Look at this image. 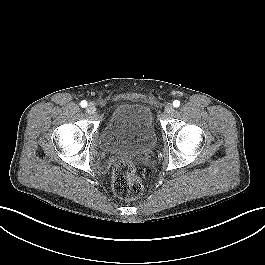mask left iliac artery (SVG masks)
<instances>
[{"label":"left iliac artery","mask_w":265,"mask_h":265,"mask_svg":"<svg viewBox=\"0 0 265 265\" xmlns=\"http://www.w3.org/2000/svg\"><path fill=\"white\" fill-rule=\"evenodd\" d=\"M173 106H174L175 108L179 107V106H180V101H179V100H174V101H173Z\"/></svg>","instance_id":"44dca946"}]
</instances>
